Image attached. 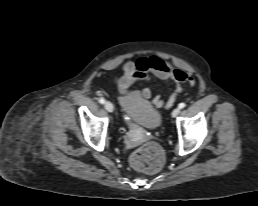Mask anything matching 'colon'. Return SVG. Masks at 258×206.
I'll list each match as a JSON object with an SVG mask.
<instances>
[{
  "instance_id": "obj_1",
  "label": "colon",
  "mask_w": 258,
  "mask_h": 206,
  "mask_svg": "<svg viewBox=\"0 0 258 206\" xmlns=\"http://www.w3.org/2000/svg\"><path fill=\"white\" fill-rule=\"evenodd\" d=\"M191 84H194L191 83ZM165 156L159 144L149 141L133 152L131 165L139 171L155 173L164 164Z\"/></svg>"
}]
</instances>
